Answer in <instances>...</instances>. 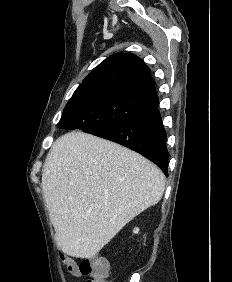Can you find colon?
Listing matches in <instances>:
<instances>
[{
    "instance_id": "colon-1",
    "label": "colon",
    "mask_w": 232,
    "mask_h": 282,
    "mask_svg": "<svg viewBox=\"0 0 232 282\" xmlns=\"http://www.w3.org/2000/svg\"><path fill=\"white\" fill-rule=\"evenodd\" d=\"M61 258L70 273L86 276V282H110V265L105 258L85 259L80 262L64 255Z\"/></svg>"
}]
</instances>
